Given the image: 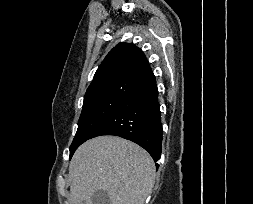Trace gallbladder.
<instances>
[{"label":"gallbladder","instance_id":"gallbladder-1","mask_svg":"<svg viewBox=\"0 0 253 204\" xmlns=\"http://www.w3.org/2000/svg\"><path fill=\"white\" fill-rule=\"evenodd\" d=\"M91 199H92V204H111L108 193L104 190H97L92 195Z\"/></svg>","mask_w":253,"mask_h":204}]
</instances>
